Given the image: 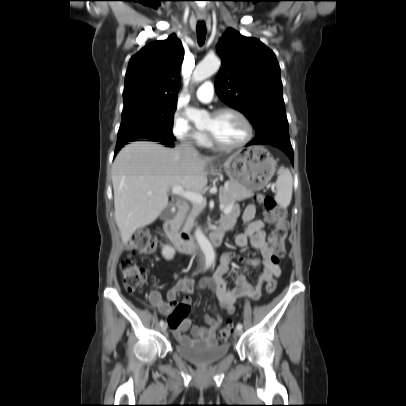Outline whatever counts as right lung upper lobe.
<instances>
[{
    "label": "right lung upper lobe",
    "mask_w": 406,
    "mask_h": 406,
    "mask_svg": "<svg viewBox=\"0 0 406 406\" xmlns=\"http://www.w3.org/2000/svg\"><path fill=\"white\" fill-rule=\"evenodd\" d=\"M184 50L175 34L143 47L131 57L125 75L124 108L176 106Z\"/></svg>",
    "instance_id": "right-lung-upper-lobe-1"
}]
</instances>
